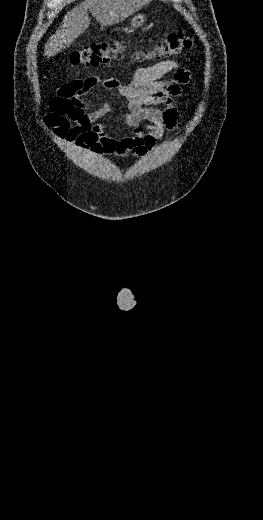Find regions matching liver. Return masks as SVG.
I'll use <instances>...</instances> for the list:
<instances>
[{"label":"liver","mask_w":263,"mask_h":520,"mask_svg":"<svg viewBox=\"0 0 263 520\" xmlns=\"http://www.w3.org/2000/svg\"><path fill=\"white\" fill-rule=\"evenodd\" d=\"M151 0H84L68 11L62 25L45 45L44 55L55 56L68 47L90 25L88 10L103 26H110L123 21Z\"/></svg>","instance_id":"obj_1"}]
</instances>
